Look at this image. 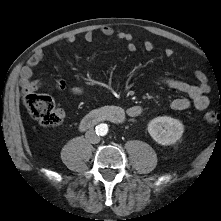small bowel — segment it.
<instances>
[{
  "mask_svg": "<svg viewBox=\"0 0 221 221\" xmlns=\"http://www.w3.org/2000/svg\"><path fill=\"white\" fill-rule=\"evenodd\" d=\"M100 34L105 37H115L117 39L126 42V48L129 52L133 53L137 50V45L133 41V37L129 33H116L114 29L110 26H102L99 30ZM96 35L93 31H88L84 34V41L87 43L94 42ZM68 43H74L76 37L74 35H69L66 37ZM143 48L146 51H152L155 48V44L152 41H145ZM164 55L167 58H172L175 55V51L172 48H166L164 50ZM43 50H37L23 66L20 75V85L24 94H29L34 92L41 87L47 85L48 83L42 79H33V69L36 67L43 59ZM194 78L197 84H192L184 80H179L175 78H162L160 82L167 86L168 88L183 93L184 97L175 98L171 102V108L176 111L186 110L190 107H194L197 110H204L209 106L208 98V84L207 76L201 70L194 71ZM50 85L57 90H64L66 88V82L63 79H55ZM71 92L74 95H81L84 92V88L80 85L73 86ZM62 115V111H59ZM127 113L131 117H138L142 113V108L139 105L130 106L127 109Z\"/></svg>",
  "mask_w": 221,
  "mask_h": 221,
  "instance_id": "c3829d8e",
  "label": "small bowel"
}]
</instances>
